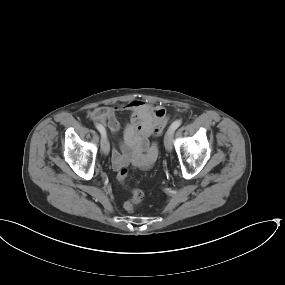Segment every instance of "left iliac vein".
I'll use <instances>...</instances> for the list:
<instances>
[{
	"mask_svg": "<svg viewBox=\"0 0 285 285\" xmlns=\"http://www.w3.org/2000/svg\"><path fill=\"white\" fill-rule=\"evenodd\" d=\"M174 131L169 129L164 137V145L168 152L172 151V139Z\"/></svg>",
	"mask_w": 285,
	"mask_h": 285,
	"instance_id": "4c4485c4",
	"label": "left iliac vein"
}]
</instances>
